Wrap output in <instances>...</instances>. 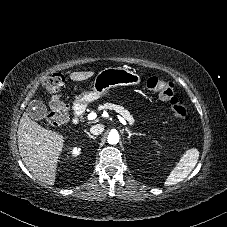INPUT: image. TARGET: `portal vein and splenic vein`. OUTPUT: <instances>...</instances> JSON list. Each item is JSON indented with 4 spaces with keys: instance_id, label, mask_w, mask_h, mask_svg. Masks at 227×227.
Returning <instances> with one entry per match:
<instances>
[{
    "instance_id": "obj_1",
    "label": "portal vein and splenic vein",
    "mask_w": 227,
    "mask_h": 227,
    "mask_svg": "<svg viewBox=\"0 0 227 227\" xmlns=\"http://www.w3.org/2000/svg\"><path fill=\"white\" fill-rule=\"evenodd\" d=\"M96 117H97V114L95 112H91L87 115V119L90 121L94 120ZM119 120L123 125L127 124V122L122 117H120Z\"/></svg>"
}]
</instances>
